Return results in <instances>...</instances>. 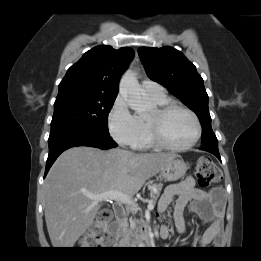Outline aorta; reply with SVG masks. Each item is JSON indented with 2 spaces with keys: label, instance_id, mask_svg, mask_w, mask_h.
Listing matches in <instances>:
<instances>
[{
  "label": "aorta",
  "instance_id": "aorta-1",
  "mask_svg": "<svg viewBox=\"0 0 261 261\" xmlns=\"http://www.w3.org/2000/svg\"><path fill=\"white\" fill-rule=\"evenodd\" d=\"M119 93L134 111L140 113L147 110L148 103L142 96L141 87L133 72L127 71L123 74L119 84Z\"/></svg>",
  "mask_w": 261,
  "mask_h": 261
}]
</instances>
